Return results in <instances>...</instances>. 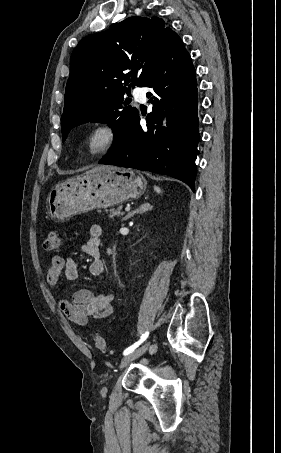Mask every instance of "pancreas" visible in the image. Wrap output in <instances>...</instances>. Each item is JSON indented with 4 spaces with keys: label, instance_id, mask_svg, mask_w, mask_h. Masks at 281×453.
<instances>
[{
    "label": "pancreas",
    "instance_id": "pancreas-1",
    "mask_svg": "<svg viewBox=\"0 0 281 453\" xmlns=\"http://www.w3.org/2000/svg\"><path fill=\"white\" fill-rule=\"evenodd\" d=\"M121 208H111V210H109L110 214V218H113V216H120V214H123V212H120Z\"/></svg>",
    "mask_w": 281,
    "mask_h": 453
}]
</instances>
